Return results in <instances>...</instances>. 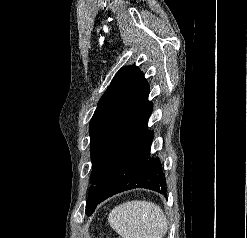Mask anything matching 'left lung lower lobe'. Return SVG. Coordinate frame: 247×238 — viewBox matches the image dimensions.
Returning a JSON list of instances; mask_svg holds the SVG:
<instances>
[{"mask_svg": "<svg viewBox=\"0 0 247 238\" xmlns=\"http://www.w3.org/2000/svg\"><path fill=\"white\" fill-rule=\"evenodd\" d=\"M148 117L106 169L98 187L97 204L134 188H146L166 195V183L158 158H149L153 131Z\"/></svg>", "mask_w": 247, "mask_h": 238, "instance_id": "1", "label": "left lung lower lobe"}]
</instances>
